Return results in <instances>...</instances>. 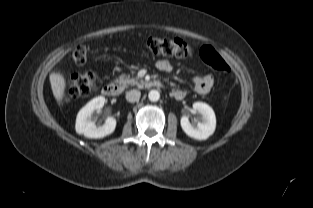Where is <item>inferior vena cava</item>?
I'll return each mask as SVG.
<instances>
[{"instance_id": "inferior-vena-cava-1", "label": "inferior vena cava", "mask_w": 313, "mask_h": 208, "mask_svg": "<svg viewBox=\"0 0 313 208\" xmlns=\"http://www.w3.org/2000/svg\"><path fill=\"white\" fill-rule=\"evenodd\" d=\"M141 96V92L139 90H131L126 93V100L129 102H137L139 101Z\"/></svg>"}]
</instances>
